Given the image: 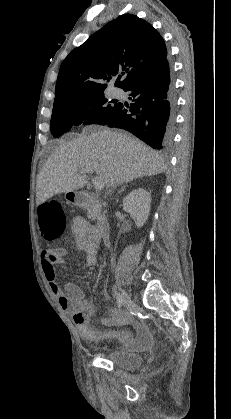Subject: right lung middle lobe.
Returning <instances> with one entry per match:
<instances>
[{
    "label": "right lung middle lobe",
    "mask_w": 231,
    "mask_h": 419,
    "mask_svg": "<svg viewBox=\"0 0 231 419\" xmlns=\"http://www.w3.org/2000/svg\"><path fill=\"white\" fill-rule=\"evenodd\" d=\"M112 103L115 104H109L104 91L54 103L50 122L52 135L57 138L83 120V124H100L120 105L115 100Z\"/></svg>",
    "instance_id": "obj_1"
}]
</instances>
